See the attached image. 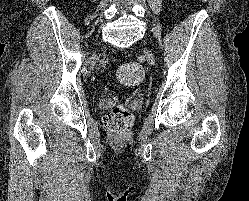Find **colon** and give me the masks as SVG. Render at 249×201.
Instances as JSON below:
<instances>
[{
	"mask_svg": "<svg viewBox=\"0 0 249 201\" xmlns=\"http://www.w3.org/2000/svg\"><path fill=\"white\" fill-rule=\"evenodd\" d=\"M144 77V70L137 63L122 65L117 71L118 81L128 87L139 84ZM133 123L131 112L123 105H117L104 117L106 129L116 138L125 136Z\"/></svg>",
	"mask_w": 249,
	"mask_h": 201,
	"instance_id": "5ec220e1",
	"label": "colon"
}]
</instances>
